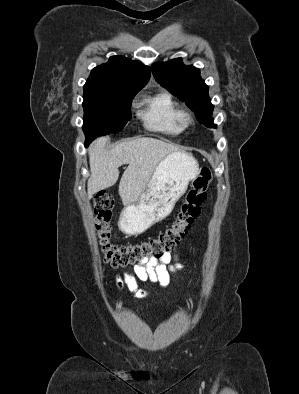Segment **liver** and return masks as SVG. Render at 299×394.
<instances>
[{"instance_id":"1","label":"liver","mask_w":299,"mask_h":394,"mask_svg":"<svg viewBox=\"0 0 299 394\" xmlns=\"http://www.w3.org/2000/svg\"><path fill=\"white\" fill-rule=\"evenodd\" d=\"M108 140V137H100L89 147L88 196L90 198L113 186L119 177V167L128 164L119 183V195L124 205L136 202L159 163L170 153L180 150L172 143L151 137L121 142L108 150L105 148Z\"/></svg>"}]
</instances>
